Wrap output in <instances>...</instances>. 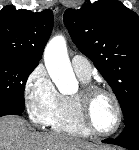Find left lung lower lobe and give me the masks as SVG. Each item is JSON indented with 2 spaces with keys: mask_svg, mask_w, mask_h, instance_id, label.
<instances>
[{
  "mask_svg": "<svg viewBox=\"0 0 139 150\" xmlns=\"http://www.w3.org/2000/svg\"><path fill=\"white\" fill-rule=\"evenodd\" d=\"M103 143L115 144L130 150H139V110H135L133 119L125 125L124 131L116 139H105Z\"/></svg>",
  "mask_w": 139,
  "mask_h": 150,
  "instance_id": "1",
  "label": "left lung lower lobe"
}]
</instances>
